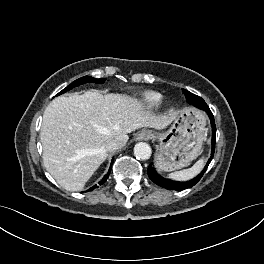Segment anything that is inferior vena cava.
<instances>
[{
    "label": "inferior vena cava",
    "mask_w": 264,
    "mask_h": 264,
    "mask_svg": "<svg viewBox=\"0 0 264 264\" xmlns=\"http://www.w3.org/2000/svg\"><path fill=\"white\" fill-rule=\"evenodd\" d=\"M122 147V143L117 141V140H113V141H110L108 144H107V149L109 151H113V150H116V149H119Z\"/></svg>",
    "instance_id": "1"
}]
</instances>
